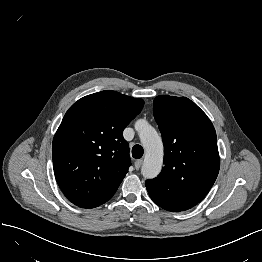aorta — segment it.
Wrapping results in <instances>:
<instances>
[{
  "instance_id": "aorta-1",
  "label": "aorta",
  "mask_w": 262,
  "mask_h": 262,
  "mask_svg": "<svg viewBox=\"0 0 262 262\" xmlns=\"http://www.w3.org/2000/svg\"><path fill=\"white\" fill-rule=\"evenodd\" d=\"M135 129L145 149L141 173L145 178H155L163 164V143L155 128L145 120H138Z\"/></svg>"
}]
</instances>
